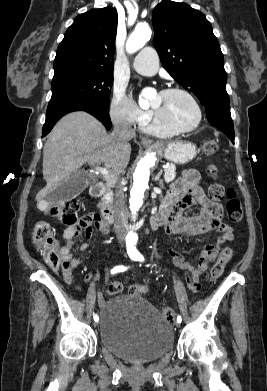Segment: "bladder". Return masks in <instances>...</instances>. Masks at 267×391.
<instances>
[{
  "label": "bladder",
  "mask_w": 267,
  "mask_h": 391,
  "mask_svg": "<svg viewBox=\"0 0 267 391\" xmlns=\"http://www.w3.org/2000/svg\"><path fill=\"white\" fill-rule=\"evenodd\" d=\"M98 327L102 346L132 363L158 360L174 343L172 326L141 296L119 294L107 300Z\"/></svg>",
  "instance_id": "1"
}]
</instances>
